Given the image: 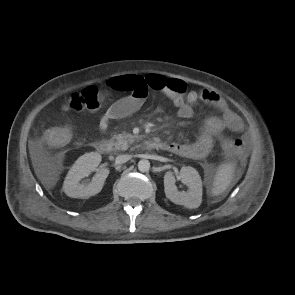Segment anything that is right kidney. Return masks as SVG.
<instances>
[{
    "instance_id": "obj_1",
    "label": "right kidney",
    "mask_w": 295,
    "mask_h": 295,
    "mask_svg": "<svg viewBox=\"0 0 295 295\" xmlns=\"http://www.w3.org/2000/svg\"><path fill=\"white\" fill-rule=\"evenodd\" d=\"M100 162L101 155L97 152L86 153L79 157L65 178L63 190L66 195L72 198H89L98 194L109 175L107 168L97 169ZM93 171L97 173L91 182H80Z\"/></svg>"
}]
</instances>
